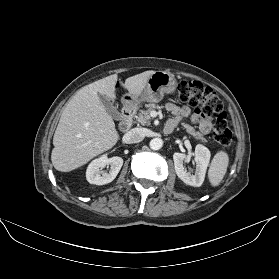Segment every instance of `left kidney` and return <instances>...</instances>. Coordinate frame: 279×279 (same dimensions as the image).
Segmentation results:
<instances>
[{
    "label": "left kidney",
    "mask_w": 279,
    "mask_h": 279,
    "mask_svg": "<svg viewBox=\"0 0 279 279\" xmlns=\"http://www.w3.org/2000/svg\"><path fill=\"white\" fill-rule=\"evenodd\" d=\"M210 156L211 154L208 148L198 144L194 153L196 168L194 172H190L184 167V161L190 159V156L177 152L174 153L173 160L177 176L187 185L194 187L201 186L209 165Z\"/></svg>",
    "instance_id": "left-kidney-1"
}]
</instances>
